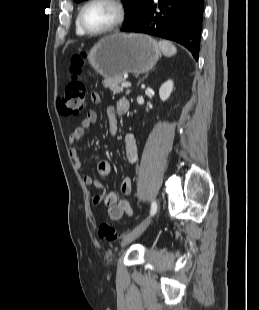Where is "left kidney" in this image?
Instances as JSON below:
<instances>
[{
	"instance_id": "obj_1",
	"label": "left kidney",
	"mask_w": 259,
	"mask_h": 310,
	"mask_svg": "<svg viewBox=\"0 0 259 310\" xmlns=\"http://www.w3.org/2000/svg\"><path fill=\"white\" fill-rule=\"evenodd\" d=\"M173 91V81L168 80L159 89V96L162 101H166Z\"/></svg>"
}]
</instances>
